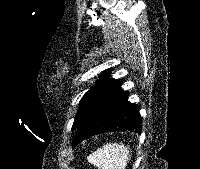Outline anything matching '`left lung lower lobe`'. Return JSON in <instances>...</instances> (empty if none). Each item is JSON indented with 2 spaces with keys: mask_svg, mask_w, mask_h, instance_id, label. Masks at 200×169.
I'll return each mask as SVG.
<instances>
[{
  "mask_svg": "<svg viewBox=\"0 0 200 169\" xmlns=\"http://www.w3.org/2000/svg\"><path fill=\"white\" fill-rule=\"evenodd\" d=\"M127 99L128 92L119 87L98 101L77 127L73 147L84 139L104 132L141 133L139 106Z\"/></svg>",
  "mask_w": 200,
  "mask_h": 169,
  "instance_id": "1",
  "label": "left lung lower lobe"
}]
</instances>
